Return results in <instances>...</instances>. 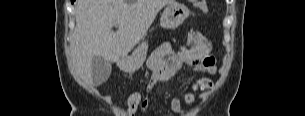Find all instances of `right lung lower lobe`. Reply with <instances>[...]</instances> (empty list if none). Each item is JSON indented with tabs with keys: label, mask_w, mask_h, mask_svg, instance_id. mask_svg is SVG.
<instances>
[{
	"label": "right lung lower lobe",
	"mask_w": 305,
	"mask_h": 116,
	"mask_svg": "<svg viewBox=\"0 0 305 116\" xmlns=\"http://www.w3.org/2000/svg\"><path fill=\"white\" fill-rule=\"evenodd\" d=\"M75 0H71V2L73 3Z\"/></svg>",
	"instance_id": "1"
}]
</instances>
